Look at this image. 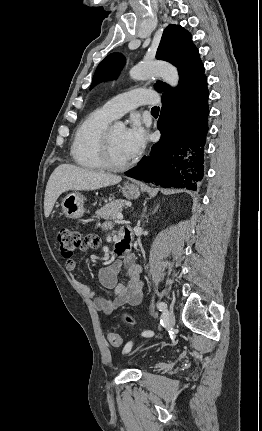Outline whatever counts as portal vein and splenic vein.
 <instances>
[{"label": "portal vein and splenic vein", "mask_w": 262, "mask_h": 431, "mask_svg": "<svg viewBox=\"0 0 262 431\" xmlns=\"http://www.w3.org/2000/svg\"><path fill=\"white\" fill-rule=\"evenodd\" d=\"M117 219H118V220H123V215H122L121 213H118V214H117Z\"/></svg>", "instance_id": "obj_1"}]
</instances>
